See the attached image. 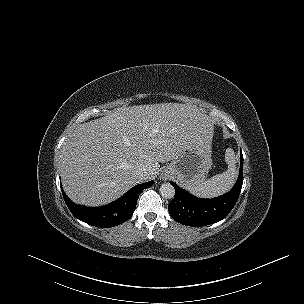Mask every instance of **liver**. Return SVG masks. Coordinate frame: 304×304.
<instances>
[{"label":"liver","mask_w":304,"mask_h":304,"mask_svg":"<svg viewBox=\"0 0 304 304\" xmlns=\"http://www.w3.org/2000/svg\"><path fill=\"white\" fill-rule=\"evenodd\" d=\"M211 119L191 105L159 103L118 108L80 124L64 143L60 172L63 188L75 203H110L142 182L145 168L155 179L160 164L198 142L210 147Z\"/></svg>","instance_id":"1"}]
</instances>
